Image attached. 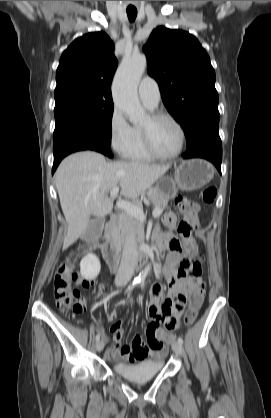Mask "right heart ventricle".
Masks as SVG:
<instances>
[{
    "label": "right heart ventricle",
    "mask_w": 271,
    "mask_h": 418,
    "mask_svg": "<svg viewBox=\"0 0 271 418\" xmlns=\"http://www.w3.org/2000/svg\"><path fill=\"white\" fill-rule=\"evenodd\" d=\"M123 156L133 161H150L154 158L145 147L140 127H132L131 142Z\"/></svg>",
    "instance_id": "obj_1"
}]
</instances>
